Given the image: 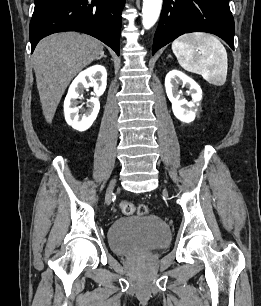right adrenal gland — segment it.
Listing matches in <instances>:
<instances>
[{"mask_svg": "<svg viewBox=\"0 0 261 306\" xmlns=\"http://www.w3.org/2000/svg\"><path fill=\"white\" fill-rule=\"evenodd\" d=\"M106 57H107V56L104 55V53H102V55L98 58V60L101 59V58H106Z\"/></svg>", "mask_w": 261, "mask_h": 306, "instance_id": "1", "label": "right adrenal gland"}]
</instances>
